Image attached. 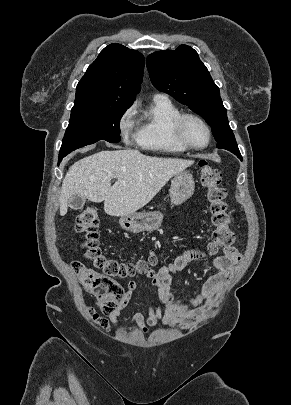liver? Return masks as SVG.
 <instances>
[{
    "label": "liver",
    "instance_id": "obj_1",
    "mask_svg": "<svg viewBox=\"0 0 291 405\" xmlns=\"http://www.w3.org/2000/svg\"><path fill=\"white\" fill-rule=\"evenodd\" d=\"M193 161L150 157L137 150L101 151L75 162L66 173L60 195V215L79 195L92 202L104 201L111 216L134 213L146 204L177 173ZM118 176L111 186V180Z\"/></svg>",
    "mask_w": 291,
    "mask_h": 405
}]
</instances>
